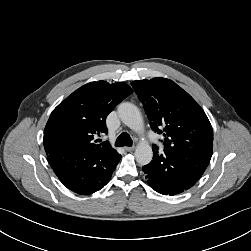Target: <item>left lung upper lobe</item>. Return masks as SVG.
Listing matches in <instances>:
<instances>
[{
    "label": "left lung upper lobe",
    "instance_id": "obj_1",
    "mask_svg": "<svg viewBox=\"0 0 251 251\" xmlns=\"http://www.w3.org/2000/svg\"><path fill=\"white\" fill-rule=\"evenodd\" d=\"M131 85L144 105L151 128L163 133L164 149L211 158V124L186 91L166 78L138 80Z\"/></svg>",
    "mask_w": 251,
    "mask_h": 251
}]
</instances>
